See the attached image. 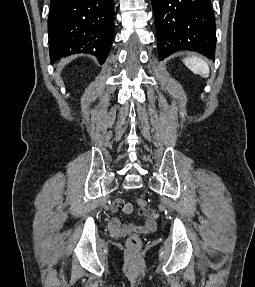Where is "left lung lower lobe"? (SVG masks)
<instances>
[{"mask_svg":"<svg viewBox=\"0 0 255 287\" xmlns=\"http://www.w3.org/2000/svg\"><path fill=\"white\" fill-rule=\"evenodd\" d=\"M211 0H151L160 60L178 50L215 58L216 25Z\"/></svg>","mask_w":255,"mask_h":287,"instance_id":"0a47b994","label":"left lung lower lobe"}]
</instances>
